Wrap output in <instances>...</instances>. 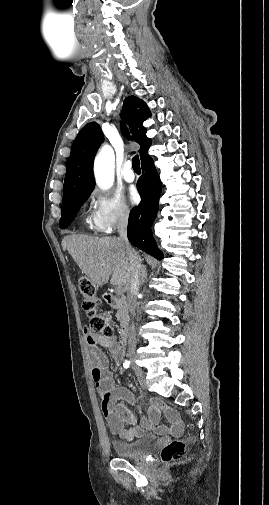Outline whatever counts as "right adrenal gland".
Here are the masks:
<instances>
[{
	"mask_svg": "<svg viewBox=\"0 0 269 505\" xmlns=\"http://www.w3.org/2000/svg\"><path fill=\"white\" fill-rule=\"evenodd\" d=\"M146 278H147V271H146V267L143 266V272H142V277H141V284H143L145 282Z\"/></svg>",
	"mask_w": 269,
	"mask_h": 505,
	"instance_id": "2a0ac1e0",
	"label": "right adrenal gland"
}]
</instances>
